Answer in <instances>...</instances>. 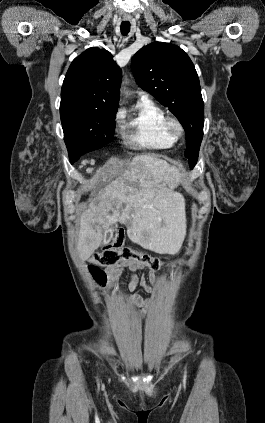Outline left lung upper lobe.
I'll use <instances>...</instances> for the list:
<instances>
[{
	"instance_id": "5c2ea615",
	"label": "left lung upper lobe",
	"mask_w": 265,
	"mask_h": 423,
	"mask_svg": "<svg viewBox=\"0 0 265 423\" xmlns=\"http://www.w3.org/2000/svg\"><path fill=\"white\" fill-rule=\"evenodd\" d=\"M131 69L137 84L168 107L184 127L185 156L193 168L203 137L204 103L189 56L176 45L154 42L132 57Z\"/></svg>"
}]
</instances>
